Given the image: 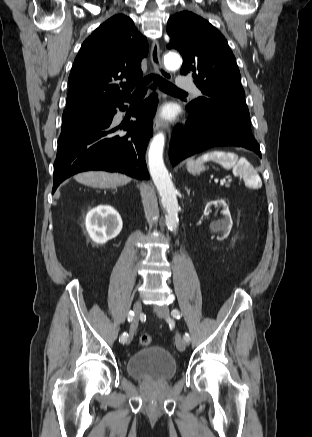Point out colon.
Returning a JSON list of instances; mask_svg holds the SVG:
<instances>
[{
	"label": "colon",
	"instance_id": "colon-1",
	"mask_svg": "<svg viewBox=\"0 0 312 437\" xmlns=\"http://www.w3.org/2000/svg\"><path fill=\"white\" fill-rule=\"evenodd\" d=\"M139 343L142 346H149L152 343V337L149 334H141L139 337Z\"/></svg>",
	"mask_w": 312,
	"mask_h": 437
}]
</instances>
